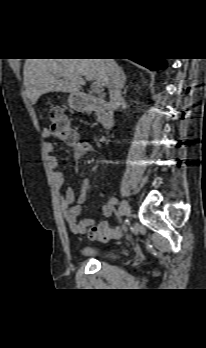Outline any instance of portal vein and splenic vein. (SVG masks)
<instances>
[{
    "mask_svg": "<svg viewBox=\"0 0 206 348\" xmlns=\"http://www.w3.org/2000/svg\"><path fill=\"white\" fill-rule=\"evenodd\" d=\"M78 81L81 83V84H84V80L82 78H79ZM92 90L94 92H100L102 90V86L98 83V82H94L92 84Z\"/></svg>",
    "mask_w": 206,
    "mask_h": 348,
    "instance_id": "portal-vein-and-splenic-vein-1",
    "label": "portal vein and splenic vein"
}]
</instances>
